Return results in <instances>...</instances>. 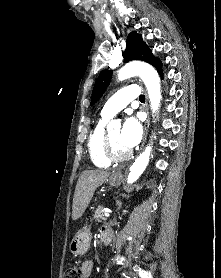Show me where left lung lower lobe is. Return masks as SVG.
I'll return each instance as SVG.
<instances>
[{
	"label": "left lung lower lobe",
	"instance_id": "obj_1",
	"mask_svg": "<svg viewBox=\"0 0 221 278\" xmlns=\"http://www.w3.org/2000/svg\"><path fill=\"white\" fill-rule=\"evenodd\" d=\"M158 72H159V74L162 76V70H161V69H159V70H158Z\"/></svg>",
	"mask_w": 221,
	"mask_h": 278
}]
</instances>
